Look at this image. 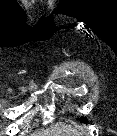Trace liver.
<instances>
[{"mask_svg":"<svg viewBox=\"0 0 117 136\" xmlns=\"http://www.w3.org/2000/svg\"><path fill=\"white\" fill-rule=\"evenodd\" d=\"M78 134L77 130L73 129L71 126L64 125L63 123H57L53 128L39 133L41 136H71Z\"/></svg>","mask_w":117,"mask_h":136,"instance_id":"6515ba94","label":"liver"}]
</instances>
